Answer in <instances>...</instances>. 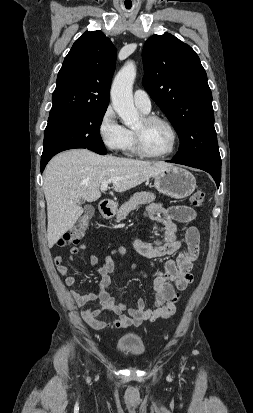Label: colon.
Masks as SVG:
<instances>
[{
    "label": "colon",
    "mask_w": 253,
    "mask_h": 413,
    "mask_svg": "<svg viewBox=\"0 0 253 413\" xmlns=\"http://www.w3.org/2000/svg\"><path fill=\"white\" fill-rule=\"evenodd\" d=\"M205 194L202 190L195 191L191 197L190 202L194 207H201L204 203ZM92 208L86 207L84 214L80 217L75 226L71 229L70 232L66 233L59 241L58 245L63 247L70 244H77L80 242L85 232L88 229L91 217H92Z\"/></svg>",
    "instance_id": "1"
}]
</instances>
